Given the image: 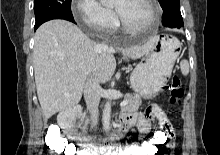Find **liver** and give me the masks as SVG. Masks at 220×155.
Returning <instances> with one entry per match:
<instances>
[{
    "mask_svg": "<svg viewBox=\"0 0 220 155\" xmlns=\"http://www.w3.org/2000/svg\"><path fill=\"white\" fill-rule=\"evenodd\" d=\"M153 44L122 51L123 59H137ZM113 48L89 39L65 20H51L35 33L33 65L36 90L45 119L76 106L90 78L109 81L116 69ZM69 94L70 96H65Z\"/></svg>",
    "mask_w": 220,
    "mask_h": 155,
    "instance_id": "obj_1",
    "label": "liver"
}]
</instances>
